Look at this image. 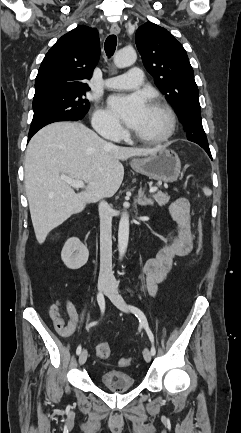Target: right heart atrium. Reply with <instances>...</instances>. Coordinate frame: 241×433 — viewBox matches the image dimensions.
I'll list each match as a JSON object with an SVG mask.
<instances>
[{
  "instance_id": "right-heart-atrium-1",
  "label": "right heart atrium",
  "mask_w": 241,
  "mask_h": 433,
  "mask_svg": "<svg viewBox=\"0 0 241 433\" xmlns=\"http://www.w3.org/2000/svg\"><path fill=\"white\" fill-rule=\"evenodd\" d=\"M94 129L106 136L120 137L123 134V127L119 121L107 110L97 109L92 118Z\"/></svg>"
}]
</instances>
